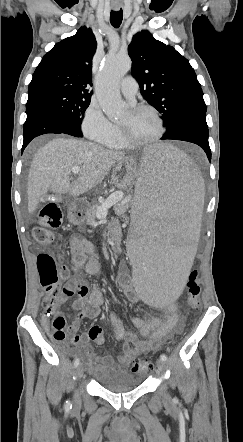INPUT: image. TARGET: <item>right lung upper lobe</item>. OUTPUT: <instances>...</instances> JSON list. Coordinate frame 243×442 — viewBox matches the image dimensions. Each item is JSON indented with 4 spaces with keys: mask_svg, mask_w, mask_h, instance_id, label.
<instances>
[{
    "mask_svg": "<svg viewBox=\"0 0 243 442\" xmlns=\"http://www.w3.org/2000/svg\"><path fill=\"white\" fill-rule=\"evenodd\" d=\"M96 46L94 34L86 27L55 44L37 66L28 97L57 91L91 99L92 58Z\"/></svg>",
    "mask_w": 243,
    "mask_h": 442,
    "instance_id": "1",
    "label": "right lung upper lobe"
}]
</instances>
